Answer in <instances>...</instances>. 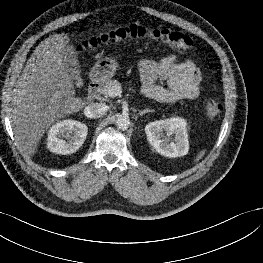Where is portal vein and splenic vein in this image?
<instances>
[{
	"label": "portal vein and splenic vein",
	"instance_id": "portal-vein-and-splenic-vein-1",
	"mask_svg": "<svg viewBox=\"0 0 263 263\" xmlns=\"http://www.w3.org/2000/svg\"><path fill=\"white\" fill-rule=\"evenodd\" d=\"M121 92H122V91H121V88L118 86V87H113V88H111V89L109 90L108 94H109L110 96L115 97V96L121 94Z\"/></svg>",
	"mask_w": 263,
	"mask_h": 263
}]
</instances>
